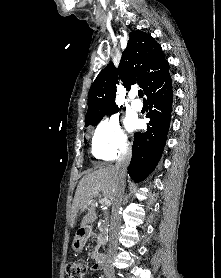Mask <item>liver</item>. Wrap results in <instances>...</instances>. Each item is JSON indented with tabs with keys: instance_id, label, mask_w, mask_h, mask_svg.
<instances>
[{
	"instance_id": "6515ba94",
	"label": "liver",
	"mask_w": 221,
	"mask_h": 278,
	"mask_svg": "<svg viewBox=\"0 0 221 278\" xmlns=\"http://www.w3.org/2000/svg\"><path fill=\"white\" fill-rule=\"evenodd\" d=\"M119 183L118 172L115 166L101 167L98 170L85 175L77 186L72 203L71 227L75 225V219L80 209H87V214L83 217L80 228L88 227L93 223L96 216V198L102 195L103 199L114 201V192Z\"/></svg>"
}]
</instances>
